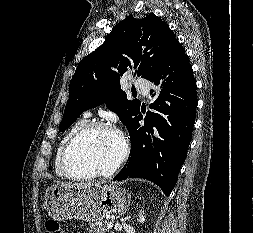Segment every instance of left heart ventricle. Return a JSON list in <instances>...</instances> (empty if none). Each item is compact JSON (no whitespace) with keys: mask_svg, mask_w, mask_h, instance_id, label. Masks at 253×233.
Returning <instances> with one entry per match:
<instances>
[{"mask_svg":"<svg viewBox=\"0 0 253 233\" xmlns=\"http://www.w3.org/2000/svg\"><path fill=\"white\" fill-rule=\"evenodd\" d=\"M121 152L119 136L109 130H97L81 138L69 156V166L75 174L107 170Z\"/></svg>","mask_w":253,"mask_h":233,"instance_id":"1","label":"left heart ventricle"}]
</instances>
